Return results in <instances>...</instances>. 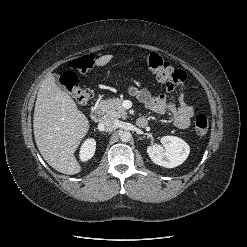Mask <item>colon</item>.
<instances>
[{"mask_svg": "<svg viewBox=\"0 0 247 247\" xmlns=\"http://www.w3.org/2000/svg\"><path fill=\"white\" fill-rule=\"evenodd\" d=\"M144 61L157 80L165 83L167 86L176 85L185 80V75L181 70L174 68L169 62L156 53L145 55ZM93 64L94 56L92 54L75 58L68 63L71 71L63 73L60 77V84L64 90L82 104L91 100L93 92L91 89L81 87L78 84L77 76L74 71L87 72L93 67ZM194 128L197 136L204 137L209 128L207 117L205 115H198L194 121Z\"/></svg>", "mask_w": 247, "mask_h": 247, "instance_id": "obj_1", "label": "colon"}]
</instances>
